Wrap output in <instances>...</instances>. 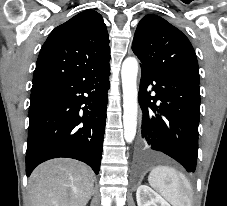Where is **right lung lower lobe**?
Returning <instances> with one entry per match:
<instances>
[{"mask_svg":"<svg viewBox=\"0 0 227 206\" xmlns=\"http://www.w3.org/2000/svg\"><path fill=\"white\" fill-rule=\"evenodd\" d=\"M109 63L33 84L29 107L26 174L40 163L68 157L100 169L105 133ZM82 104L86 106L81 107Z\"/></svg>","mask_w":227,"mask_h":206,"instance_id":"1","label":"right lung lower lobe"}]
</instances>
